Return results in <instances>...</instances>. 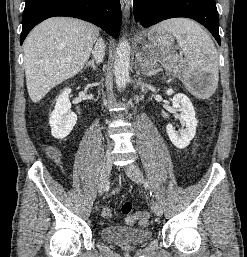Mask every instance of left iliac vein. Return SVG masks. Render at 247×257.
Instances as JSON below:
<instances>
[{"mask_svg": "<svg viewBox=\"0 0 247 257\" xmlns=\"http://www.w3.org/2000/svg\"><path fill=\"white\" fill-rule=\"evenodd\" d=\"M125 173L135 183H137V184L144 183V176H143L142 172L140 171V169L138 167H136L135 165H129L128 167H126ZM153 212L159 217L162 216V214H163V209L157 201L153 202Z\"/></svg>", "mask_w": 247, "mask_h": 257, "instance_id": "1", "label": "left iliac vein"}]
</instances>
